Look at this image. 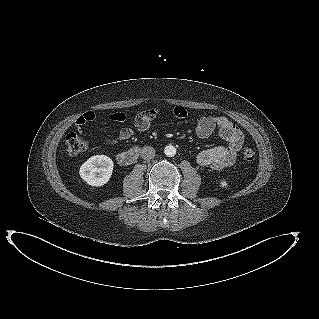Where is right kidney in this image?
Instances as JSON below:
<instances>
[{
  "instance_id": "1",
  "label": "right kidney",
  "mask_w": 319,
  "mask_h": 319,
  "mask_svg": "<svg viewBox=\"0 0 319 319\" xmlns=\"http://www.w3.org/2000/svg\"><path fill=\"white\" fill-rule=\"evenodd\" d=\"M113 161L105 155H95L81 165L80 177L91 186L106 184L113 172Z\"/></svg>"
}]
</instances>
